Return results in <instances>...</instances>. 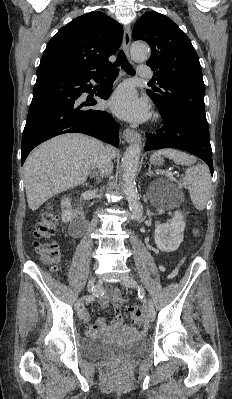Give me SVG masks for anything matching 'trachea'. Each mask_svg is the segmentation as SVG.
I'll use <instances>...</instances> for the list:
<instances>
[{
  "label": "trachea",
  "instance_id": "1",
  "mask_svg": "<svg viewBox=\"0 0 232 399\" xmlns=\"http://www.w3.org/2000/svg\"><path fill=\"white\" fill-rule=\"evenodd\" d=\"M114 65L117 67L119 65H121V67L123 68V70L126 73H128L129 75H132V76L135 75V70L133 69L132 65H130V63L128 62V60L122 50L119 51V53L117 55V60Z\"/></svg>",
  "mask_w": 232,
  "mask_h": 399
}]
</instances>
